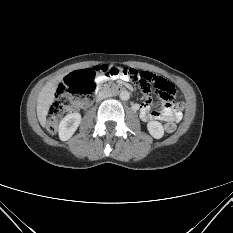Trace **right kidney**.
Instances as JSON below:
<instances>
[{"mask_svg": "<svg viewBox=\"0 0 233 233\" xmlns=\"http://www.w3.org/2000/svg\"><path fill=\"white\" fill-rule=\"evenodd\" d=\"M81 123L80 113H71L66 115L59 124V138L62 141H67L77 130Z\"/></svg>", "mask_w": 233, "mask_h": 233, "instance_id": "1", "label": "right kidney"}]
</instances>
